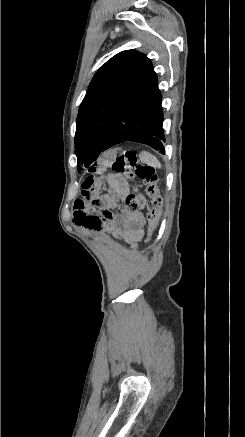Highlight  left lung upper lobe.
<instances>
[{
	"mask_svg": "<svg viewBox=\"0 0 245 437\" xmlns=\"http://www.w3.org/2000/svg\"><path fill=\"white\" fill-rule=\"evenodd\" d=\"M152 70L145 54L126 50L96 72L76 120L75 154L79 172L98 158L112 126Z\"/></svg>",
	"mask_w": 245,
	"mask_h": 437,
	"instance_id": "5c2ea615",
	"label": "left lung upper lobe"
}]
</instances>
